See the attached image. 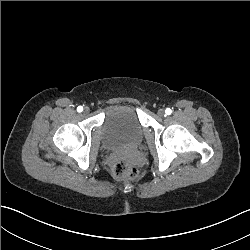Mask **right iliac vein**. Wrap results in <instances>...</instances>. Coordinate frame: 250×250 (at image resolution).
Here are the masks:
<instances>
[{"label":"right iliac vein","instance_id":"63e3f726","mask_svg":"<svg viewBox=\"0 0 250 250\" xmlns=\"http://www.w3.org/2000/svg\"><path fill=\"white\" fill-rule=\"evenodd\" d=\"M89 111H90L89 107H85L84 110H83V112H84L85 114H88Z\"/></svg>","mask_w":250,"mask_h":250}]
</instances>
